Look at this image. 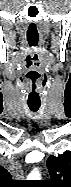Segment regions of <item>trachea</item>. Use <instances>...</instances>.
<instances>
[{
	"label": "trachea",
	"mask_w": 71,
	"mask_h": 187,
	"mask_svg": "<svg viewBox=\"0 0 71 187\" xmlns=\"http://www.w3.org/2000/svg\"><path fill=\"white\" fill-rule=\"evenodd\" d=\"M28 106H29L30 110L33 112L38 111V109L40 107V105H33V104H29Z\"/></svg>",
	"instance_id": "trachea-1"
}]
</instances>
